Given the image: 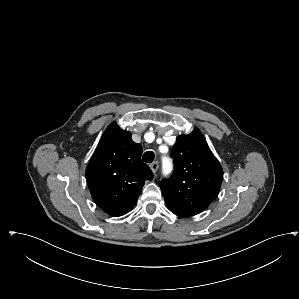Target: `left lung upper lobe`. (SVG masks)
<instances>
[{"label":"left lung upper lobe","instance_id":"left-lung-upper-lobe-1","mask_svg":"<svg viewBox=\"0 0 299 299\" xmlns=\"http://www.w3.org/2000/svg\"><path fill=\"white\" fill-rule=\"evenodd\" d=\"M171 157L174 173L159 183L166 204L191 216L204 211L218 195L223 170L202 133L178 136Z\"/></svg>","mask_w":299,"mask_h":299}]
</instances>
